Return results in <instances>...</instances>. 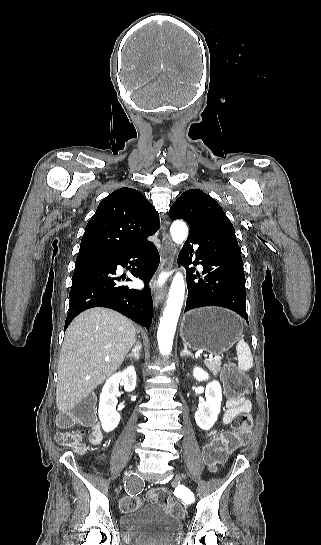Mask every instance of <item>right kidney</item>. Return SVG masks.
I'll return each instance as SVG.
<instances>
[{
  "label": "right kidney",
  "mask_w": 321,
  "mask_h": 545,
  "mask_svg": "<svg viewBox=\"0 0 321 545\" xmlns=\"http://www.w3.org/2000/svg\"><path fill=\"white\" fill-rule=\"evenodd\" d=\"M120 383L124 385V389L127 393L134 391L136 387V371L134 367H127L122 373H115V375H112L110 379H107L102 389L98 415L102 429L105 433H110V431L116 429L120 421V415L118 411H116V405L118 403L116 395Z\"/></svg>",
  "instance_id": "obj_1"
}]
</instances>
